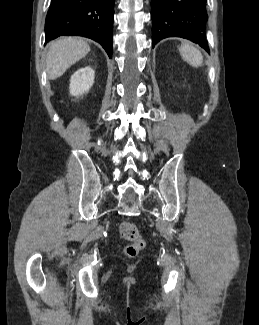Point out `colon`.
I'll return each instance as SVG.
<instances>
[{
	"instance_id": "1",
	"label": "colon",
	"mask_w": 259,
	"mask_h": 325,
	"mask_svg": "<svg viewBox=\"0 0 259 325\" xmlns=\"http://www.w3.org/2000/svg\"><path fill=\"white\" fill-rule=\"evenodd\" d=\"M121 237L128 242L124 248V253L128 257L137 256L145 247V240L140 231L131 222L124 221L119 227Z\"/></svg>"
}]
</instances>
